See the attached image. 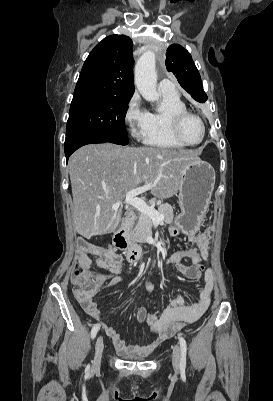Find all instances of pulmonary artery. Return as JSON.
I'll return each instance as SVG.
<instances>
[{"label": "pulmonary artery", "mask_w": 273, "mask_h": 401, "mask_svg": "<svg viewBox=\"0 0 273 401\" xmlns=\"http://www.w3.org/2000/svg\"><path fill=\"white\" fill-rule=\"evenodd\" d=\"M160 91L162 94H175L177 91V88L169 80H163L161 82Z\"/></svg>", "instance_id": "obj_1"}]
</instances>
